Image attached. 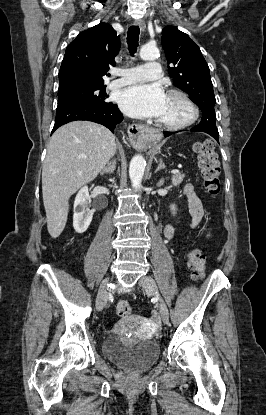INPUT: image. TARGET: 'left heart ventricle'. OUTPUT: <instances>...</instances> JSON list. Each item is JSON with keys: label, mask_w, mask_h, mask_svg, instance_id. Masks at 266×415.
<instances>
[{"label": "left heart ventricle", "mask_w": 266, "mask_h": 415, "mask_svg": "<svg viewBox=\"0 0 266 415\" xmlns=\"http://www.w3.org/2000/svg\"><path fill=\"white\" fill-rule=\"evenodd\" d=\"M190 116V110L179 99L167 96L166 104L159 121L166 123H181Z\"/></svg>", "instance_id": "1"}]
</instances>
